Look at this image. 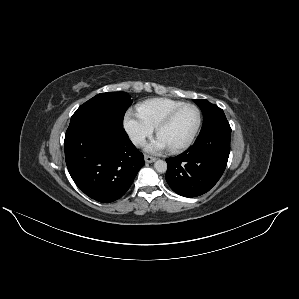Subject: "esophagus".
Masks as SVG:
<instances>
[{
    "mask_svg": "<svg viewBox=\"0 0 299 299\" xmlns=\"http://www.w3.org/2000/svg\"><path fill=\"white\" fill-rule=\"evenodd\" d=\"M144 159H145V162H146V163H153L154 161H156V158H155V157H152V156H149V155H146V156L144 157Z\"/></svg>",
    "mask_w": 299,
    "mask_h": 299,
    "instance_id": "1",
    "label": "esophagus"
}]
</instances>
